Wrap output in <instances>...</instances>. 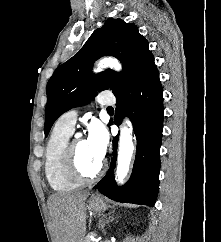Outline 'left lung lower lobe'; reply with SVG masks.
<instances>
[{"label":"left lung lower lobe","mask_w":221,"mask_h":242,"mask_svg":"<svg viewBox=\"0 0 221 242\" xmlns=\"http://www.w3.org/2000/svg\"><path fill=\"white\" fill-rule=\"evenodd\" d=\"M117 99L115 124L130 117L137 138V151L132 175L117 187L113 170L117 158L119 136L113 139V158L107 175L94 188L118 202L153 207L159 190L160 146L163 128V90L156 65L120 92Z\"/></svg>","instance_id":"0a47b994"}]
</instances>
